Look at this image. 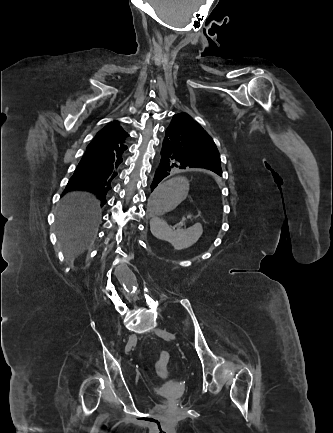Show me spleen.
Returning a JSON list of instances; mask_svg holds the SVG:
<instances>
[{
  "label": "spleen",
  "instance_id": "spleen-1",
  "mask_svg": "<svg viewBox=\"0 0 333 433\" xmlns=\"http://www.w3.org/2000/svg\"><path fill=\"white\" fill-rule=\"evenodd\" d=\"M150 230L154 237L169 242L175 250H182L192 246L199 240L203 233V228L200 223H196L188 229H176L174 226H169L161 217L158 220L151 218Z\"/></svg>",
  "mask_w": 333,
  "mask_h": 433
}]
</instances>
